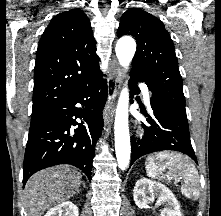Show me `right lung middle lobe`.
<instances>
[{
    "label": "right lung middle lobe",
    "mask_w": 221,
    "mask_h": 216,
    "mask_svg": "<svg viewBox=\"0 0 221 216\" xmlns=\"http://www.w3.org/2000/svg\"><path fill=\"white\" fill-rule=\"evenodd\" d=\"M42 114L32 115L30 123V131L33 130L37 126V124L41 121Z\"/></svg>",
    "instance_id": "dd1d6c3e"
}]
</instances>
